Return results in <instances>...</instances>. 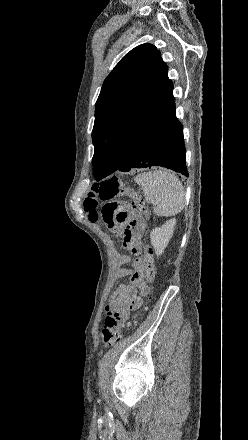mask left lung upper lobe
<instances>
[{
    "mask_svg": "<svg viewBox=\"0 0 248 440\" xmlns=\"http://www.w3.org/2000/svg\"><path fill=\"white\" fill-rule=\"evenodd\" d=\"M167 72L157 48L142 44L127 53L105 79L92 131L97 181L115 172L132 146L175 111Z\"/></svg>",
    "mask_w": 248,
    "mask_h": 440,
    "instance_id": "5c2ea615",
    "label": "left lung upper lobe"
}]
</instances>
